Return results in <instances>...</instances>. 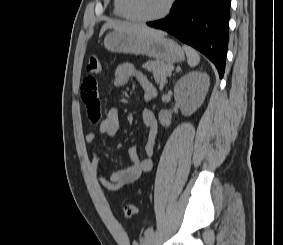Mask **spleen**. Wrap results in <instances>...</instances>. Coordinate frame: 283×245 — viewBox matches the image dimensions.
<instances>
[{
	"instance_id": "1",
	"label": "spleen",
	"mask_w": 283,
	"mask_h": 245,
	"mask_svg": "<svg viewBox=\"0 0 283 245\" xmlns=\"http://www.w3.org/2000/svg\"><path fill=\"white\" fill-rule=\"evenodd\" d=\"M183 49L187 55V62L190 67H195L200 62L198 52L190 46L184 45Z\"/></svg>"
}]
</instances>
